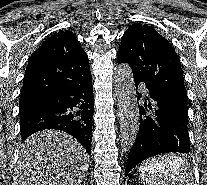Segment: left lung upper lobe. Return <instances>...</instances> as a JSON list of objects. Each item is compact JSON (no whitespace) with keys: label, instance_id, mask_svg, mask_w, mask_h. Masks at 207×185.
<instances>
[{"label":"left lung upper lobe","instance_id":"left-lung-upper-lobe-1","mask_svg":"<svg viewBox=\"0 0 207 185\" xmlns=\"http://www.w3.org/2000/svg\"><path fill=\"white\" fill-rule=\"evenodd\" d=\"M117 57L118 63L130 65L134 79L143 80L188 110L180 60L169 41L155 29L131 25L122 36Z\"/></svg>","mask_w":207,"mask_h":185}]
</instances>
